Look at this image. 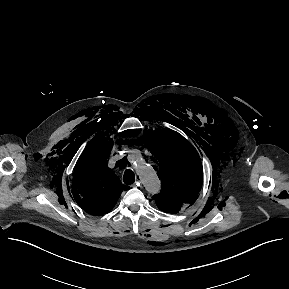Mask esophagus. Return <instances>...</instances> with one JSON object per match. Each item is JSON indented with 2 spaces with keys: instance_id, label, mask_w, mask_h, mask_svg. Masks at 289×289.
Masks as SVG:
<instances>
[{
  "instance_id": "esophagus-1",
  "label": "esophagus",
  "mask_w": 289,
  "mask_h": 289,
  "mask_svg": "<svg viewBox=\"0 0 289 289\" xmlns=\"http://www.w3.org/2000/svg\"><path fill=\"white\" fill-rule=\"evenodd\" d=\"M137 186H140V180L139 179H137L135 184L131 185V187H137Z\"/></svg>"
}]
</instances>
